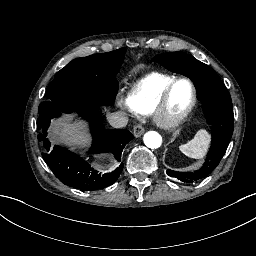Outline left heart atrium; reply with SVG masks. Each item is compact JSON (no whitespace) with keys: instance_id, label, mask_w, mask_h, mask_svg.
I'll use <instances>...</instances> for the list:
<instances>
[{"instance_id":"39dd6f15","label":"left heart atrium","mask_w":256,"mask_h":256,"mask_svg":"<svg viewBox=\"0 0 256 256\" xmlns=\"http://www.w3.org/2000/svg\"><path fill=\"white\" fill-rule=\"evenodd\" d=\"M153 120L159 126H163L164 125V123L158 117H156L155 115H153Z\"/></svg>"}]
</instances>
